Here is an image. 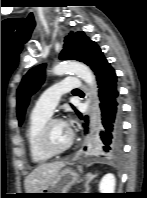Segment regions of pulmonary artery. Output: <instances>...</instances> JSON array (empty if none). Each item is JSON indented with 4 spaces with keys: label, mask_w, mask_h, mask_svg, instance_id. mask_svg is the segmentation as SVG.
I'll return each mask as SVG.
<instances>
[{
    "label": "pulmonary artery",
    "mask_w": 147,
    "mask_h": 198,
    "mask_svg": "<svg viewBox=\"0 0 147 198\" xmlns=\"http://www.w3.org/2000/svg\"><path fill=\"white\" fill-rule=\"evenodd\" d=\"M81 81L76 77H67L59 83L48 88L36 101L33 110L51 115L63 94L77 89Z\"/></svg>",
    "instance_id": "pulmonary-artery-1"
}]
</instances>
